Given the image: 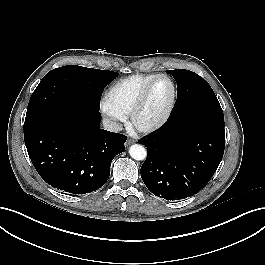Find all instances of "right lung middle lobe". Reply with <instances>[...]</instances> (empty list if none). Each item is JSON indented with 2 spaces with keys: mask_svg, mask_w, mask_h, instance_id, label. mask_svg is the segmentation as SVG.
Listing matches in <instances>:
<instances>
[{
  "mask_svg": "<svg viewBox=\"0 0 265 265\" xmlns=\"http://www.w3.org/2000/svg\"><path fill=\"white\" fill-rule=\"evenodd\" d=\"M117 72L67 65L51 70L32 93L24 127L65 105L99 110L103 88Z\"/></svg>",
  "mask_w": 265,
  "mask_h": 265,
  "instance_id": "dd1d6c3e",
  "label": "right lung middle lobe"
}]
</instances>
